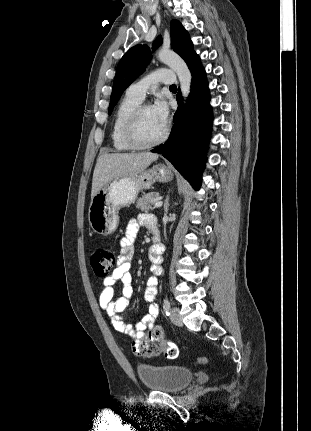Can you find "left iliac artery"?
<instances>
[{
	"label": "left iliac artery",
	"mask_w": 311,
	"mask_h": 431,
	"mask_svg": "<svg viewBox=\"0 0 311 431\" xmlns=\"http://www.w3.org/2000/svg\"><path fill=\"white\" fill-rule=\"evenodd\" d=\"M163 309H164L166 316H169L170 315V302L167 298L164 299Z\"/></svg>",
	"instance_id": "obj_1"
}]
</instances>
